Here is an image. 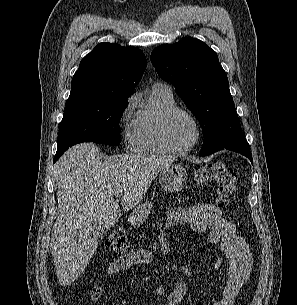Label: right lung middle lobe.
<instances>
[{
  "label": "right lung middle lobe",
  "mask_w": 297,
  "mask_h": 305,
  "mask_svg": "<svg viewBox=\"0 0 297 305\" xmlns=\"http://www.w3.org/2000/svg\"><path fill=\"white\" fill-rule=\"evenodd\" d=\"M128 97L66 104L57 150H67L77 143L90 141L119 145V122L128 105Z\"/></svg>",
  "instance_id": "dd1d6c3e"
}]
</instances>
